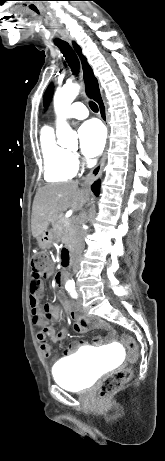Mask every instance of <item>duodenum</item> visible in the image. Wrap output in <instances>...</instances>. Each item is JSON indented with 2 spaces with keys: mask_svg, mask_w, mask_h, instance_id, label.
<instances>
[{
  "mask_svg": "<svg viewBox=\"0 0 165 461\" xmlns=\"http://www.w3.org/2000/svg\"><path fill=\"white\" fill-rule=\"evenodd\" d=\"M62 260L64 262V266H69L71 261V254L69 248H65L62 252Z\"/></svg>",
  "mask_w": 165,
  "mask_h": 461,
  "instance_id": "obj_1",
  "label": "duodenum"
}]
</instances>
